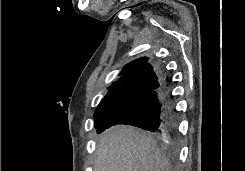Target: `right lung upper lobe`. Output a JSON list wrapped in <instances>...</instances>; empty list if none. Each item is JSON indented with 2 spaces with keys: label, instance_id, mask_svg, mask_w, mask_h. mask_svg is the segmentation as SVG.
I'll list each match as a JSON object with an SVG mask.
<instances>
[{
  "label": "right lung upper lobe",
  "instance_id": "cb5924a9",
  "mask_svg": "<svg viewBox=\"0 0 245 171\" xmlns=\"http://www.w3.org/2000/svg\"><path fill=\"white\" fill-rule=\"evenodd\" d=\"M119 76L100 103L129 100L137 95L156 91L163 85L162 73L154 71L147 57L128 63Z\"/></svg>",
  "mask_w": 245,
  "mask_h": 171
}]
</instances>
